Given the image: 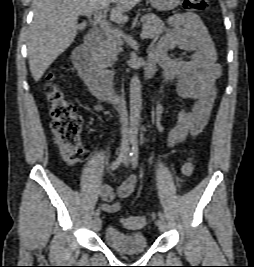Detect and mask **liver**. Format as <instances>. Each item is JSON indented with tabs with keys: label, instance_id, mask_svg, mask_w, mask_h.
I'll use <instances>...</instances> for the list:
<instances>
[{
	"label": "liver",
	"instance_id": "1",
	"mask_svg": "<svg viewBox=\"0 0 254 267\" xmlns=\"http://www.w3.org/2000/svg\"><path fill=\"white\" fill-rule=\"evenodd\" d=\"M141 0H35L27 50L32 77L39 81L48 67L74 41L80 15L108 11L111 21L125 23L126 15Z\"/></svg>",
	"mask_w": 254,
	"mask_h": 267
}]
</instances>
